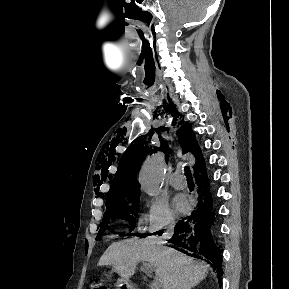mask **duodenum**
<instances>
[{
    "instance_id": "duodenum-1",
    "label": "duodenum",
    "mask_w": 289,
    "mask_h": 289,
    "mask_svg": "<svg viewBox=\"0 0 289 289\" xmlns=\"http://www.w3.org/2000/svg\"><path fill=\"white\" fill-rule=\"evenodd\" d=\"M129 289H138V288L135 287V286L130 285V286H129Z\"/></svg>"
}]
</instances>
